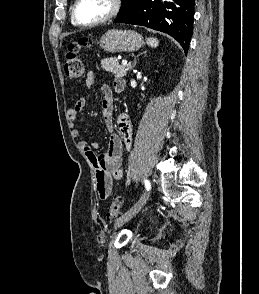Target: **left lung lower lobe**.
Wrapping results in <instances>:
<instances>
[{
  "label": "left lung lower lobe",
  "mask_w": 259,
  "mask_h": 294,
  "mask_svg": "<svg viewBox=\"0 0 259 294\" xmlns=\"http://www.w3.org/2000/svg\"><path fill=\"white\" fill-rule=\"evenodd\" d=\"M194 0H134L133 8L114 22L141 25L175 38L184 51L193 33Z\"/></svg>",
  "instance_id": "obj_1"
}]
</instances>
